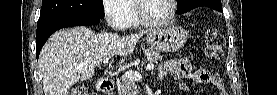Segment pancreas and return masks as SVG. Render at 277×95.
<instances>
[{
    "mask_svg": "<svg viewBox=\"0 0 277 95\" xmlns=\"http://www.w3.org/2000/svg\"><path fill=\"white\" fill-rule=\"evenodd\" d=\"M145 61L149 63H158L161 60L159 52L148 50L145 54ZM118 90L122 95H138L137 85L135 81L129 80L124 75L117 80Z\"/></svg>",
    "mask_w": 277,
    "mask_h": 95,
    "instance_id": "pancreas-1",
    "label": "pancreas"
}]
</instances>
